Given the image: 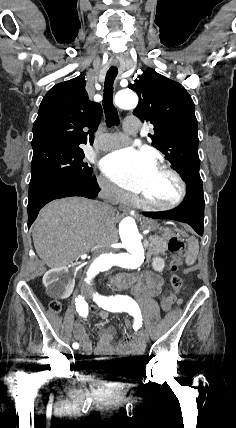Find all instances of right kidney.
<instances>
[{
	"label": "right kidney",
	"mask_w": 236,
	"mask_h": 428,
	"mask_svg": "<svg viewBox=\"0 0 236 428\" xmlns=\"http://www.w3.org/2000/svg\"><path fill=\"white\" fill-rule=\"evenodd\" d=\"M66 272L64 269L54 268L46 269L43 278L44 286H47L50 301H64L69 298L74 288V280L70 283H65Z\"/></svg>",
	"instance_id": "1"
}]
</instances>
